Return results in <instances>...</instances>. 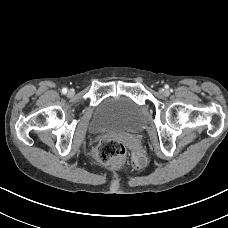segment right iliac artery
Segmentation results:
<instances>
[{
    "label": "right iliac artery",
    "mask_w": 228,
    "mask_h": 228,
    "mask_svg": "<svg viewBox=\"0 0 228 228\" xmlns=\"http://www.w3.org/2000/svg\"><path fill=\"white\" fill-rule=\"evenodd\" d=\"M62 93H63V94H66V93H67V88H63V89H62Z\"/></svg>",
    "instance_id": "obj_1"
}]
</instances>
